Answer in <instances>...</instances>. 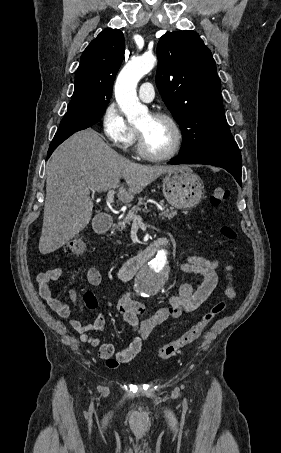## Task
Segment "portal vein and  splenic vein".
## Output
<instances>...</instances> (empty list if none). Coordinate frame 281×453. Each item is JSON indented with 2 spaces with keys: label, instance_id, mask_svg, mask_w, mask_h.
Returning a JSON list of instances; mask_svg holds the SVG:
<instances>
[{
  "label": "portal vein and splenic vein",
  "instance_id": "1",
  "mask_svg": "<svg viewBox=\"0 0 281 453\" xmlns=\"http://www.w3.org/2000/svg\"><path fill=\"white\" fill-rule=\"evenodd\" d=\"M90 190L89 188H86V194H89ZM114 194H115V190H108V194L106 196V202L107 204H109V206H113V202H114ZM131 218H133V222H137V220H139V222H141L142 218L141 216H139V214H133V216H131Z\"/></svg>",
  "mask_w": 281,
  "mask_h": 453
}]
</instances>
